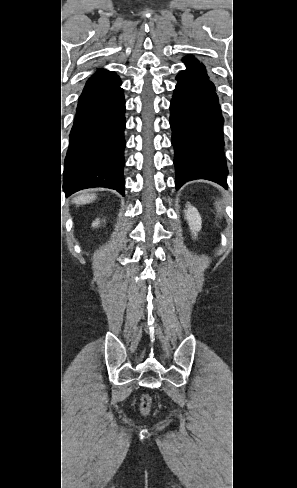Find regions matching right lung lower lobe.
<instances>
[{"label":"right lung lower lobe","mask_w":297,"mask_h":488,"mask_svg":"<svg viewBox=\"0 0 297 488\" xmlns=\"http://www.w3.org/2000/svg\"><path fill=\"white\" fill-rule=\"evenodd\" d=\"M118 76L79 98L65 158L63 190L90 187L124 195L125 101Z\"/></svg>","instance_id":"obj_1"}]
</instances>
